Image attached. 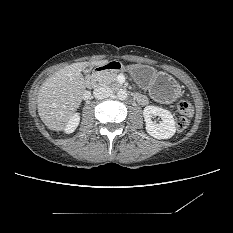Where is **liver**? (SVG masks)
Masks as SVG:
<instances>
[{"label":"liver","instance_id":"1","mask_svg":"<svg viewBox=\"0 0 233 233\" xmlns=\"http://www.w3.org/2000/svg\"><path fill=\"white\" fill-rule=\"evenodd\" d=\"M107 63L108 60L73 63L57 71L42 84L37 108L42 122L49 129L62 131L79 108L86 89L81 71L90 64L102 66Z\"/></svg>","mask_w":233,"mask_h":233}]
</instances>
